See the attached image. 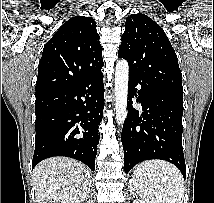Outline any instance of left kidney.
I'll return each mask as SVG.
<instances>
[{
  "label": "left kidney",
  "mask_w": 214,
  "mask_h": 203,
  "mask_svg": "<svg viewBox=\"0 0 214 203\" xmlns=\"http://www.w3.org/2000/svg\"><path fill=\"white\" fill-rule=\"evenodd\" d=\"M133 203H145L144 201H142V200H134V202Z\"/></svg>",
  "instance_id": "left-kidney-1"
}]
</instances>
